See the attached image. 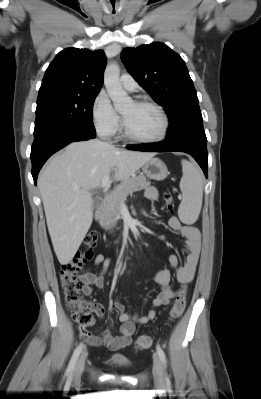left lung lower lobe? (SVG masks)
Segmentation results:
<instances>
[{"mask_svg": "<svg viewBox=\"0 0 261 399\" xmlns=\"http://www.w3.org/2000/svg\"><path fill=\"white\" fill-rule=\"evenodd\" d=\"M127 149L146 152H185L190 154L202 168L206 178L208 169L207 138L204 129H198L175 138L161 142L138 146H127Z\"/></svg>", "mask_w": 261, "mask_h": 399, "instance_id": "obj_1", "label": "left lung lower lobe"}]
</instances>
